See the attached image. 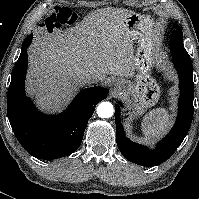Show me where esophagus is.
<instances>
[{
  "mask_svg": "<svg viewBox=\"0 0 199 199\" xmlns=\"http://www.w3.org/2000/svg\"><path fill=\"white\" fill-rule=\"evenodd\" d=\"M112 87H113V93L114 94L118 93L121 90V87H120L118 82H113Z\"/></svg>",
  "mask_w": 199,
  "mask_h": 199,
  "instance_id": "esophagus-1",
  "label": "esophagus"
}]
</instances>
